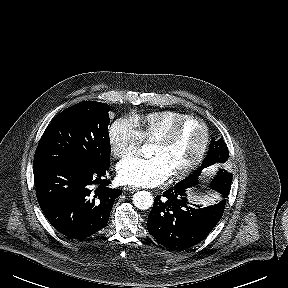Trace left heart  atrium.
I'll return each mask as SVG.
<instances>
[{
  "label": "left heart atrium",
  "mask_w": 288,
  "mask_h": 288,
  "mask_svg": "<svg viewBox=\"0 0 288 288\" xmlns=\"http://www.w3.org/2000/svg\"><path fill=\"white\" fill-rule=\"evenodd\" d=\"M117 176L119 181L125 185L153 187L166 181L170 172L160 156L129 157L117 165Z\"/></svg>",
  "instance_id": "1"
}]
</instances>
